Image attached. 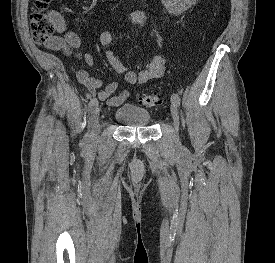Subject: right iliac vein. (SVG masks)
Instances as JSON below:
<instances>
[{
    "label": "right iliac vein",
    "mask_w": 275,
    "mask_h": 263,
    "mask_svg": "<svg viewBox=\"0 0 275 263\" xmlns=\"http://www.w3.org/2000/svg\"><path fill=\"white\" fill-rule=\"evenodd\" d=\"M92 130H91V139L93 142H96L99 138L100 134V126H99V108L98 105L95 108L93 117H92Z\"/></svg>",
    "instance_id": "obj_1"
}]
</instances>
